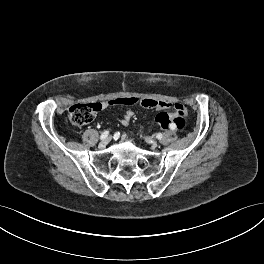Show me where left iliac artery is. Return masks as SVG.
Listing matches in <instances>:
<instances>
[{"label":"left iliac artery","instance_id":"obj_1","mask_svg":"<svg viewBox=\"0 0 264 264\" xmlns=\"http://www.w3.org/2000/svg\"><path fill=\"white\" fill-rule=\"evenodd\" d=\"M170 128H171L172 130H174V129H175V125H174V124H171V125H170Z\"/></svg>","mask_w":264,"mask_h":264}]
</instances>
